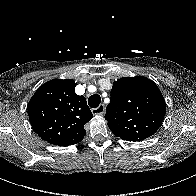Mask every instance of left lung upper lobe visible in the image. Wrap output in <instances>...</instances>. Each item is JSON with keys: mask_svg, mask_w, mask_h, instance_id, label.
<instances>
[{"mask_svg": "<svg viewBox=\"0 0 196 196\" xmlns=\"http://www.w3.org/2000/svg\"><path fill=\"white\" fill-rule=\"evenodd\" d=\"M165 112L164 97L152 80L126 77L113 83L105 119L116 137L142 141L157 132Z\"/></svg>", "mask_w": 196, "mask_h": 196, "instance_id": "5c2ea615", "label": "left lung upper lobe"}]
</instances>
